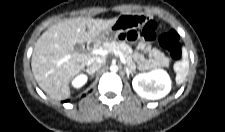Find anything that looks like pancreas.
I'll list each match as a JSON object with an SVG mask.
<instances>
[{"label":"pancreas","instance_id":"pancreas-1","mask_svg":"<svg viewBox=\"0 0 225 132\" xmlns=\"http://www.w3.org/2000/svg\"><path fill=\"white\" fill-rule=\"evenodd\" d=\"M100 48L107 49V50H117L120 51L126 62H127V68L131 71H134L136 69V65L132 60V48L126 44L125 42H117V41H106L103 42V44L100 46ZM162 67H168L169 66V59L165 58L161 64Z\"/></svg>","mask_w":225,"mask_h":132}]
</instances>
